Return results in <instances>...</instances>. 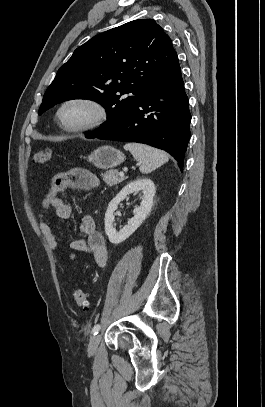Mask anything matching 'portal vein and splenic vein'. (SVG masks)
Returning <instances> with one entry per match:
<instances>
[{
    "label": "portal vein and splenic vein",
    "mask_w": 265,
    "mask_h": 407,
    "mask_svg": "<svg viewBox=\"0 0 265 407\" xmlns=\"http://www.w3.org/2000/svg\"><path fill=\"white\" fill-rule=\"evenodd\" d=\"M119 176H120V177H123V176H124V172H123V171L119 172Z\"/></svg>",
    "instance_id": "1"
}]
</instances>
